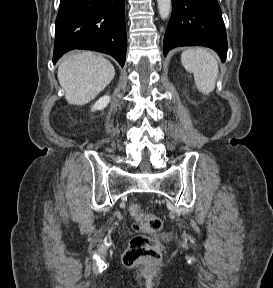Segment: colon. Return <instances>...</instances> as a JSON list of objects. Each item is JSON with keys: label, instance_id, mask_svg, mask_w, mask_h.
Returning a JSON list of instances; mask_svg holds the SVG:
<instances>
[{"label": "colon", "instance_id": "1", "mask_svg": "<svg viewBox=\"0 0 273 288\" xmlns=\"http://www.w3.org/2000/svg\"><path fill=\"white\" fill-rule=\"evenodd\" d=\"M131 213L137 221L141 231L153 232L161 227V220L152 213L144 212L137 204L131 206ZM161 257L160 243L148 235L134 236L126 248L122 260L128 266H134L139 260L157 261Z\"/></svg>", "mask_w": 273, "mask_h": 288}]
</instances>
